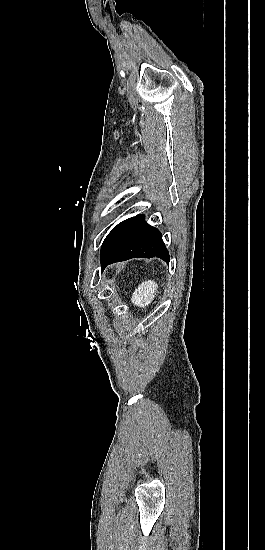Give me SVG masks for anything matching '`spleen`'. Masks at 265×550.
Masks as SVG:
<instances>
[{
  "label": "spleen",
  "mask_w": 265,
  "mask_h": 550,
  "mask_svg": "<svg viewBox=\"0 0 265 550\" xmlns=\"http://www.w3.org/2000/svg\"><path fill=\"white\" fill-rule=\"evenodd\" d=\"M157 293L158 284L155 281H144L135 289L131 302L137 307L145 308L154 300Z\"/></svg>",
  "instance_id": "3e777b00"
}]
</instances>
